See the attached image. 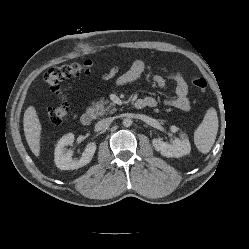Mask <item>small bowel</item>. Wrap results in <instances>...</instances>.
<instances>
[{"label": "small bowel", "mask_w": 249, "mask_h": 249, "mask_svg": "<svg viewBox=\"0 0 249 249\" xmlns=\"http://www.w3.org/2000/svg\"><path fill=\"white\" fill-rule=\"evenodd\" d=\"M119 68L113 67L109 71L103 73L101 78L103 80H111L116 78L115 82L118 86H123L129 83L138 81L143 75L154 82L159 88L166 89V80L163 76L155 74L149 71V67L142 60H135L131 67L121 75L119 74ZM168 77L174 82L175 90L174 94L165 100V105L178 108L182 111L190 110V101L188 99V85L183 75L175 70L168 71ZM146 103V107H155L157 101L151 96L141 98Z\"/></svg>", "instance_id": "1"}]
</instances>
